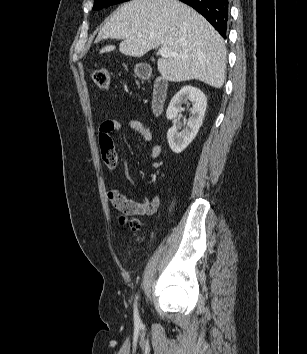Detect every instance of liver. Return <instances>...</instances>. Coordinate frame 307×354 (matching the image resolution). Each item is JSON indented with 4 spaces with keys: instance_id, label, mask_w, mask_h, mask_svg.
Instances as JSON below:
<instances>
[{
    "instance_id": "obj_1",
    "label": "liver",
    "mask_w": 307,
    "mask_h": 354,
    "mask_svg": "<svg viewBox=\"0 0 307 354\" xmlns=\"http://www.w3.org/2000/svg\"><path fill=\"white\" fill-rule=\"evenodd\" d=\"M121 39L119 51L141 57L167 46L178 54L158 59L163 78L171 82L199 80L221 88L225 79L223 38L199 13L178 0H132L118 8L98 33L97 40ZM108 45L100 54L111 52Z\"/></svg>"
}]
</instances>
